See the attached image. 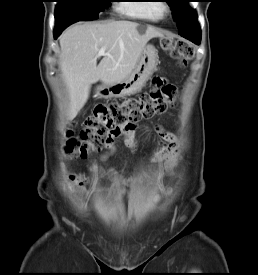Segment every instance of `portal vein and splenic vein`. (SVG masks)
<instances>
[{
  "label": "portal vein and splenic vein",
  "instance_id": "portal-vein-and-splenic-vein-1",
  "mask_svg": "<svg viewBox=\"0 0 258 275\" xmlns=\"http://www.w3.org/2000/svg\"><path fill=\"white\" fill-rule=\"evenodd\" d=\"M106 54V47H102L99 51H98V55L99 56H104Z\"/></svg>",
  "mask_w": 258,
  "mask_h": 275
}]
</instances>
